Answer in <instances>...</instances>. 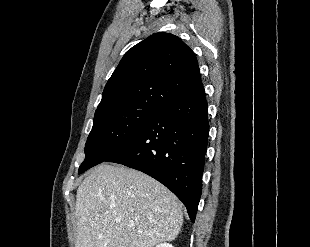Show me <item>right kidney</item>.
Instances as JSON below:
<instances>
[{
    "mask_svg": "<svg viewBox=\"0 0 310 247\" xmlns=\"http://www.w3.org/2000/svg\"><path fill=\"white\" fill-rule=\"evenodd\" d=\"M156 247H174V246L170 243H161V244L157 245Z\"/></svg>",
    "mask_w": 310,
    "mask_h": 247,
    "instance_id": "ca27d5eb",
    "label": "right kidney"
}]
</instances>
